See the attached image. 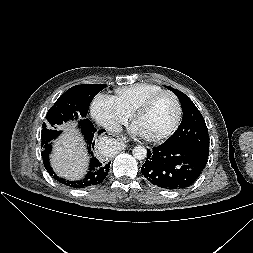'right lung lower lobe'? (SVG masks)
<instances>
[{
    "label": "right lung lower lobe",
    "mask_w": 253,
    "mask_h": 253,
    "mask_svg": "<svg viewBox=\"0 0 253 253\" xmlns=\"http://www.w3.org/2000/svg\"><path fill=\"white\" fill-rule=\"evenodd\" d=\"M81 128H82V133L88 145L87 147L88 152L91 156L88 172L85 175V177L82 178L81 180L69 181L57 176L52 170L50 166V162H49V154L52 148L51 143H44L43 145H41L43 147V151H42L43 163L48 173L51 176H53V178L57 180L58 182L66 186L73 187V188H86V187L100 184L107 176L109 172L110 163H111V162H107L103 158H99L98 156L94 155V153L92 152V150H94V145H95L94 139L97 136L101 135L103 132H105V130L97 131V129L93 127V124L91 122H89V124H87L86 126H81Z\"/></svg>",
    "instance_id": "98d812e1"
}]
</instances>
